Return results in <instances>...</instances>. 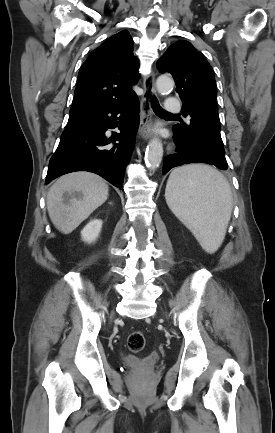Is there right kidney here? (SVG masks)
I'll return each instance as SVG.
<instances>
[{
	"instance_id": "1",
	"label": "right kidney",
	"mask_w": 275,
	"mask_h": 433,
	"mask_svg": "<svg viewBox=\"0 0 275 433\" xmlns=\"http://www.w3.org/2000/svg\"><path fill=\"white\" fill-rule=\"evenodd\" d=\"M102 220L93 219L91 220L81 231L82 240L87 243H92L98 238L101 228Z\"/></svg>"
}]
</instances>
